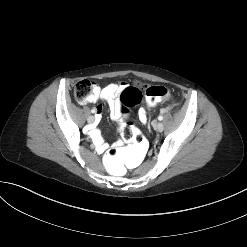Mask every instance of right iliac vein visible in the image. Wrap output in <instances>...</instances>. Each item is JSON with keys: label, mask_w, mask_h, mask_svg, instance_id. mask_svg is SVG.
<instances>
[{"label": "right iliac vein", "mask_w": 247, "mask_h": 247, "mask_svg": "<svg viewBox=\"0 0 247 247\" xmlns=\"http://www.w3.org/2000/svg\"><path fill=\"white\" fill-rule=\"evenodd\" d=\"M95 120L94 116L90 115L88 118H87V121L88 123H93Z\"/></svg>", "instance_id": "1"}]
</instances>
